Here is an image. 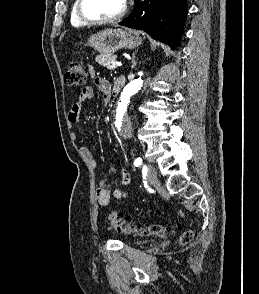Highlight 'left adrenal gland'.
I'll list each match as a JSON object with an SVG mask.
<instances>
[{
  "instance_id": "left-adrenal-gland-1",
  "label": "left adrenal gland",
  "mask_w": 259,
  "mask_h": 294,
  "mask_svg": "<svg viewBox=\"0 0 259 294\" xmlns=\"http://www.w3.org/2000/svg\"><path fill=\"white\" fill-rule=\"evenodd\" d=\"M132 67L134 68L136 66V62H135V54H133V58H132Z\"/></svg>"
}]
</instances>
